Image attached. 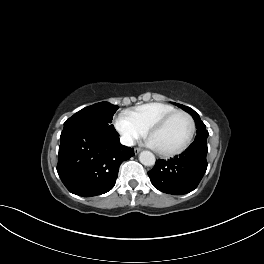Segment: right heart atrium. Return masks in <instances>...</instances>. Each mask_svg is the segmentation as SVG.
I'll list each match as a JSON object with an SVG mask.
<instances>
[{
    "mask_svg": "<svg viewBox=\"0 0 264 264\" xmlns=\"http://www.w3.org/2000/svg\"><path fill=\"white\" fill-rule=\"evenodd\" d=\"M115 128L127 145H133L146 135V132L134 123L127 112L119 114L115 120Z\"/></svg>",
    "mask_w": 264,
    "mask_h": 264,
    "instance_id": "right-heart-atrium-1",
    "label": "right heart atrium"
}]
</instances>
